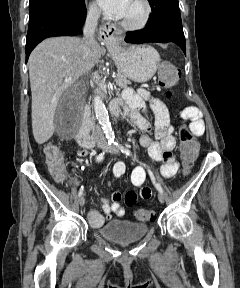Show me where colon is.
<instances>
[{
    "mask_svg": "<svg viewBox=\"0 0 240 288\" xmlns=\"http://www.w3.org/2000/svg\"><path fill=\"white\" fill-rule=\"evenodd\" d=\"M179 70L170 63H162L159 67V82L164 88L173 87L179 80ZM167 96H171V92H167ZM180 156L184 168L188 170L191 168L196 160L198 152V144L194 135L186 127L180 129ZM44 154L46 158V165L49 173L58 183L65 182L67 178L66 169L64 165L63 156L59 148L52 143H48L44 147ZM137 201V196L134 191L126 192L124 202L127 206H134ZM135 216L142 221H154L156 214L152 210L137 209Z\"/></svg>",
    "mask_w": 240,
    "mask_h": 288,
    "instance_id": "5ec220e1",
    "label": "colon"
}]
</instances>
